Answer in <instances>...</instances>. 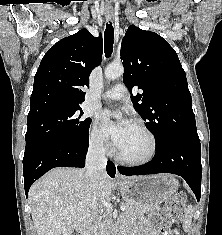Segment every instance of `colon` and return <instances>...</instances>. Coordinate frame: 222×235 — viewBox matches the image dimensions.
Segmentation results:
<instances>
[{
  "label": "colon",
  "mask_w": 222,
  "mask_h": 235,
  "mask_svg": "<svg viewBox=\"0 0 222 235\" xmlns=\"http://www.w3.org/2000/svg\"><path fill=\"white\" fill-rule=\"evenodd\" d=\"M184 214V200L181 196H174L165 202L163 206V219L166 224H173ZM161 235H179V233L174 230H164L161 232Z\"/></svg>",
  "instance_id": "obj_1"
}]
</instances>
